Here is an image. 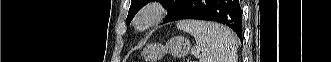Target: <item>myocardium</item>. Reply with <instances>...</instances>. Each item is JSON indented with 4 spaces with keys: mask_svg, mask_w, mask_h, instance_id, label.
Here are the masks:
<instances>
[{
    "mask_svg": "<svg viewBox=\"0 0 331 62\" xmlns=\"http://www.w3.org/2000/svg\"><path fill=\"white\" fill-rule=\"evenodd\" d=\"M165 16L166 11L162 5L150 4L137 13L133 20V27L138 32H145L162 22Z\"/></svg>",
    "mask_w": 331,
    "mask_h": 62,
    "instance_id": "obj_1",
    "label": "myocardium"
}]
</instances>
